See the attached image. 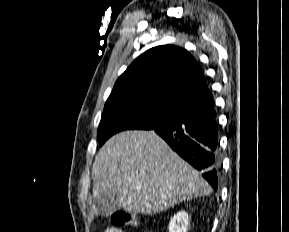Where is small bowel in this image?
<instances>
[{"mask_svg": "<svg viewBox=\"0 0 289 232\" xmlns=\"http://www.w3.org/2000/svg\"><path fill=\"white\" fill-rule=\"evenodd\" d=\"M104 232H125L123 229L116 227H109Z\"/></svg>", "mask_w": 289, "mask_h": 232, "instance_id": "obj_1", "label": "small bowel"}]
</instances>
